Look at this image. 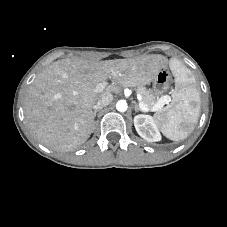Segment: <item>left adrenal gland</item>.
Listing matches in <instances>:
<instances>
[{
	"instance_id": "left-adrenal-gland-1",
	"label": "left adrenal gland",
	"mask_w": 227,
	"mask_h": 227,
	"mask_svg": "<svg viewBox=\"0 0 227 227\" xmlns=\"http://www.w3.org/2000/svg\"><path fill=\"white\" fill-rule=\"evenodd\" d=\"M134 110L135 112H138V111L143 112V110H141L135 102H134Z\"/></svg>"
}]
</instances>
